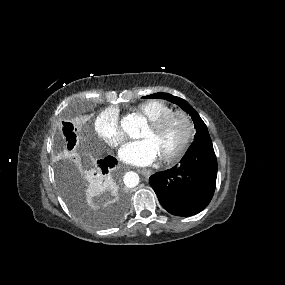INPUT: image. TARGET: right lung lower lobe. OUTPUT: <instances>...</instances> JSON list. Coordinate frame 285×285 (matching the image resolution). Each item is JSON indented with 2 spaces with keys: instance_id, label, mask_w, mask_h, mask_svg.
<instances>
[{
  "instance_id": "98d812e1",
  "label": "right lung lower lobe",
  "mask_w": 285,
  "mask_h": 285,
  "mask_svg": "<svg viewBox=\"0 0 285 285\" xmlns=\"http://www.w3.org/2000/svg\"><path fill=\"white\" fill-rule=\"evenodd\" d=\"M117 160L112 157L108 156L105 157L104 159L100 160L97 162L98 169L100 171V181L103 183H110L111 181V173H112V168L116 165ZM125 199L122 198V202L124 203Z\"/></svg>"
}]
</instances>
